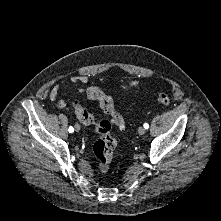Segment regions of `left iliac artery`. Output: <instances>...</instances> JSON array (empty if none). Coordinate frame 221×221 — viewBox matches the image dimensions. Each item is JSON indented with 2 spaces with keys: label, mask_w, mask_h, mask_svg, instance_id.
Instances as JSON below:
<instances>
[{
  "label": "left iliac artery",
  "mask_w": 221,
  "mask_h": 221,
  "mask_svg": "<svg viewBox=\"0 0 221 221\" xmlns=\"http://www.w3.org/2000/svg\"><path fill=\"white\" fill-rule=\"evenodd\" d=\"M144 128H145V129H148V128H149V125H148L147 123H145V124H144Z\"/></svg>",
  "instance_id": "44dca946"
}]
</instances>
